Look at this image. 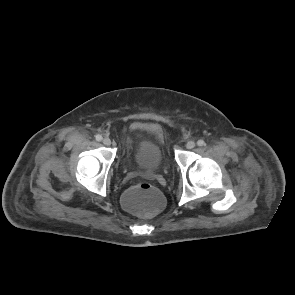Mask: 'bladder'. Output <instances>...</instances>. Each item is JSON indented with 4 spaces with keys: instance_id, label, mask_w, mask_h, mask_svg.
<instances>
[{
    "instance_id": "bladder-1",
    "label": "bladder",
    "mask_w": 295,
    "mask_h": 295,
    "mask_svg": "<svg viewBox=\"0 0 295 295\" xmlns=\"http://www.w3.org/2000/svg\"><path fill=\"white\" fill-rule=\"evenodd\" d=\"M124 162L129 168L166 170L169 159L163 131L149 126L131 131L125 148Z\"/></svg>"
}]
</instances>
